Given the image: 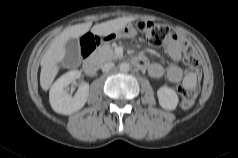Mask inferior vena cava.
I'll list each match as a JSON object with an SVG mask.
<instances>
[{
  "mask_svg": "<svg viewBox=\"0 0 238 158\" xmlns=\"http://www.w3.org/2000/svg\"><path fill=\"white\" fill-rule=\"evenodd\" d=\"M113 67H114V63L107 62V63L102 65V71L103 72H109Z\"/></svg>",
  "mask_w": 238,
  "mask_h": 158,
  "instance_id": "602c4592",
  "label": "inferior vena cava"
}]
</instances>
